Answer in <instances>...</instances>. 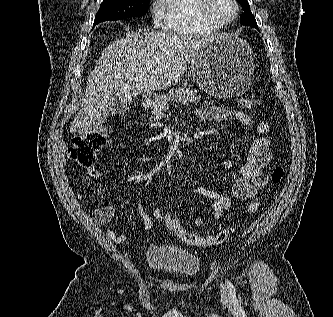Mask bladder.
I'll return each mask as SVG.
<instances>
[{"mask_svg": "<svg viewBox=\"0 0 333 317\" xmlns=\"http://www.w3.org/2000/svg\"><path fill=\"white\" fill-rule=\"evenodd\" d=\"M145 259L153 272L176 274L187 279L195 277L201 268L198 256L175 246L150 245Z\"/></svg>", "mask_w": 333, "mask_h": 317, "instance_id": "bladder-1", "label": "bladder"}]
</instances>
